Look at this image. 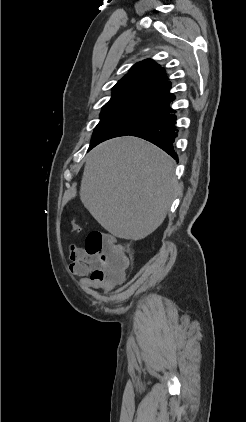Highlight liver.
<instances>
[{
    "instance_id": "obj_1",
    "label": "liver",
    "mask_w": 246,
    "mask_h": 422,
    "mask_svg": "<svg viewBox=\"0 0 246 422\" xmlns=\"http://www.w3.org/2000/svg\"><path fill=\"white\" fill-rule=\"evenodd\" d=\"M178 190L174 160L155 145L126 136L90 151L79 194L105 230L137 241L163 223Z\"/></svg>"
}]
</instances>
